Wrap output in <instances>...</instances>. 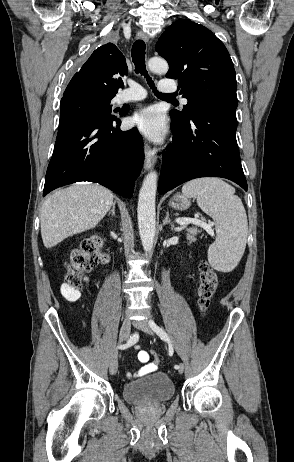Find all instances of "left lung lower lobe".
<instances>
[{"label": "left lung lower lobe", "instance_id": "obj_1", "mask_svg": "<svg viewBox=\"0 0 294 462\" xmlns=\"http://www.w3.org/2000/svg\"><path fill=\"white\" fill-rule=\"evenodd\" d=\"M236 107L230 102L211 103L186 123L172 119V148L163 156L159 194L206 176L227 178L247 191L235 138Z\"/></svg>", "mask_w": 294, "mask_h": 462}]
</instances>
